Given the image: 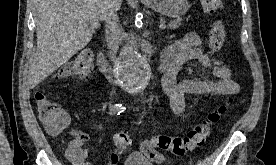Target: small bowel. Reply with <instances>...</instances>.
<instances>
[{
	"instance_id": "small-bowel-1",
	"label": "small bowel",
	"mask_w": 276,
	"mask_h": 165,
	"mask_svg": "<svg viewBox=\"0 0 276 165\" xmlns=\"http://www.w3.org/2000/svg\"><path fill=\"white\" fill-rule=\"evenodd\" d=\"M162 59L168 62L162 78V87L169 97L172 111L180 117L186 115L187 95L217 97L237 94L240 91V85L234 79L231 69L221 58L204 49L203 39L196 32H189L167 46L162 53ZM191 60L198 61L201 65L200 71L210 73L214 79H184L178 81L177 74L183 64ZM95 128L100 129V126L96 125ZM71 136L72 141L67 148L69 159L75 165H87L84 163V159L90 142L89 136L79 130H72ZM83 145L86 146L85 149H82ZM147 145H149V141L142 144L143 154V147ZM70 150H74L76 154H71ZM121 154L120 151H114L110 155L108 165H117ZM146 158L150 160L148 157ZM150 161L159 163L163 161V157L157 152L154 160Z\"/></svg>"
}]
</instances>
